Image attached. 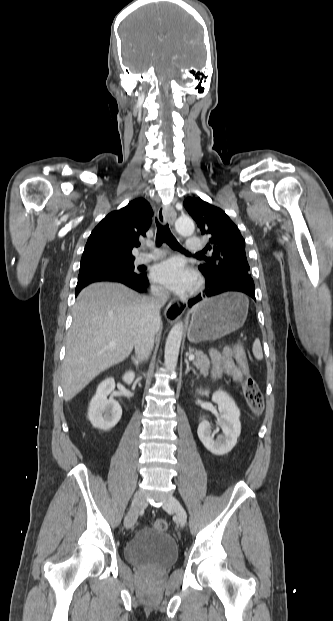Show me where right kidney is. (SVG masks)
I'll use <instances>...</instances> for the list:
<instances>
[{
    "label": "right kidney",
    "mask_w": 333,
    "mask_h": 621,
    "mask_svg": "<svg viewBox=\"0 0 333 621\" xmlns=\"http://www.w3.org/2000/svg\"><path fill=\"white\" fill-rule=\"evenodd\" d=\"M134 378V372L129 371L124 374L123 381L131 384ZM114 388L115 381L113 378H107L99 384L88 409V419L93 427L108 431L119 422L122 415L120 404L114 399H107Z\"/></svg>",
    "instance_id": "ca27d5eb"
}]
</instances>
